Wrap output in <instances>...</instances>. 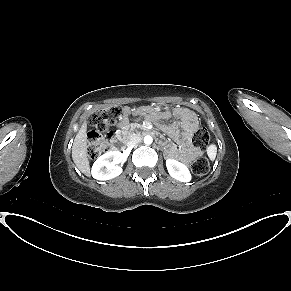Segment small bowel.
Segmentation results:
<instances>
[{
	"label": "small bowel",
	"instance_id": "small-bowel-1",
	"mask_svg": "<svg viewBox=\"0 0 291 291\" xmlns=\"http://www.w3.org/2000/svg\"><path fill=\"white\" fill-rule=\"evenodd\" d=\"M145 115L146 118L153 122H158L160 119H168L171 117L170 112L162 114H147L145 108L130 109L124 108L122 121L119 127L123 128L129 121L130 116ZM172 118L176 121L169 127H166L169 135L180 142V147L168 145L166 154L169 158L176 159L182 162H190L198 156V151L192 146L190 138L192 133L198 127V119L194 110L186 108H175L172 111Z\"/></svg>",
	"mask_w": 291,
	"mask_h": 291
}]
</instances>
